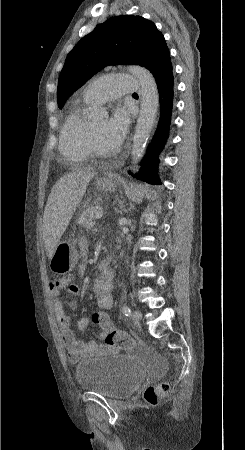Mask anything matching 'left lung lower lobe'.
<instances>
[{
	"label": "left lung lower lobe",
	"mask_w": 245,
	"mask_h": 450,
	"mask_svg": "<svg viewBox=\"0 0 245 450\" xmlns=\"http://www.w3.org/2000/svg\"><path fill=\"white\" fill-rule=\"evenodd\" d=\"M159 99H160V121L156 133L150 144L140 173L134 177L152 184H159L157 176L158 154L165 145L168 136L169 124L173 102V74L170 60L154 71Z\"/></svg>",
	"instance_id": "1"
}]
</instances>
